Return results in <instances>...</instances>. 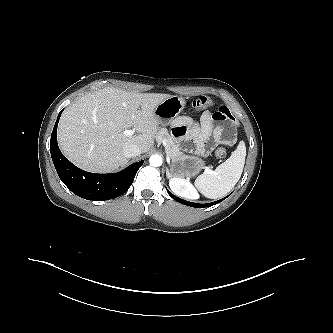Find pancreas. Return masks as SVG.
<instances>
[{
    "label": "pancreas",
    "instance_id": "1",
    "mask_svg": "<svg viewBox=\"0 0 333 333\" xmlns=\"http://www.w3.org/2000/svg\"><path fill=\"white\" fill-rule=\"evenodd\" d=\"M156 139L159 142H162L163 140L166 142L165 150L167 156L171 160L178 159L182 156V152H180L179 148V140L172 138L167 129H161L159 134L156 136Z\"/></svg>",
    "mask_w": 333,
    "mask_h": 333
}]
</instances>
